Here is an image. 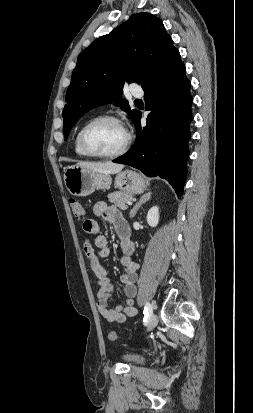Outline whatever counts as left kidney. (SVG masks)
Listing matches in <instances>:
<instances>
[{
  "instance_id": "left-kidney-1",
  "label": "left kidney",
  "mask_w": 253,
  "mask_h": 413,
  "mask_svg": "<svg viewBox=\"0 0 253 413\" xmlns=\"http://www.w3.org/2000/svg\"><path fill=\"white\" fill-rule=\"evenodd\" d=\"M159 222V209L157 206L152 207L147 214V223L151 227H156Z\"/></svg>"
}]
</instances>
